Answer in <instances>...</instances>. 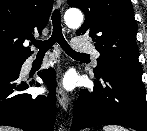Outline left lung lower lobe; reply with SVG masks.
Returning a JSON list of instances; mask_svg holds the SVG:
<instances>
[{
    "label": "left lung lower lobe",
    "instance_id": "0a47b994",
    "mask_svg": "<svg viewBox=\"0 0 147 131\" xmlns=\"http://www.w3.org/2000/svg\"><path fill=\"white\" fill-rule=\"evenodd\" d=\"M96 78L93 90L84 89L79 94L71 131L110 124L147 131L143 82L115 71H104Z\"/></svg>",
    "mask_w": 147,
    "mask_h": 131
}]
</instances>
